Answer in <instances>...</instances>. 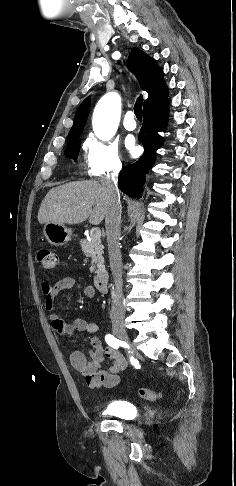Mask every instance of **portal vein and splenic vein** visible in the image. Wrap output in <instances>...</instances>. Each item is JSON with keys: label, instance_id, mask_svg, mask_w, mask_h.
Here are the masks:
<instances>
[{"label": "portal vein and splenic vein", "instance_id": "18ae733b", "mask_svg": "<svg viewBox=\"0 0 236 486\" xmlns=\"http://www.w3.org/2000/svg\"><path fill=\"white\" fill-rule=\"evenodd\" d=\"M90 235L92 238L100 239L101 231L99 228H92L90 231Z\"/></svg>", "mask_w": 236, "mask_h": 486}]
</instances>
